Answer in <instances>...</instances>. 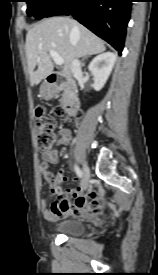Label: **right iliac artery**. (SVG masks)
Segmentation results:
<instances>
[{"label": "right iliac artery", "mask_w": 158, "mask_h": 275, "mask_svg": "<svg viewBox=\"0 0 158 275\" xmlns=\"http://www.w3.org/2000/svg\"><path fill=\"white\" fill-rule=\"evenodd\" d=\"M74 170H75L76 174L78 175V177L82 178L83 173L77 165L74 166Z\"/></svg>", "instance_id": "obj_1"}]
</instances>
